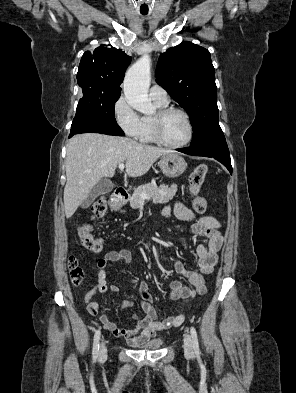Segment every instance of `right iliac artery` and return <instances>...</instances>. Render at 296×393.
<instances>
[{"label": "right iliac artery", "mask_w": 296, "mask_h": 393, "mask_svg": "<svg viewBox=\"0 0 296 393\" xmlns=\"http://www.w3.org/2000/svg\"><path fill=\"white\" fill-rule=\"evenodd\" d=\"M100 335H101L100 330H97L94 335V342H93V350H92L93 361H96L98 357Z\"/></svg>", "instance_id": "1"}]
</instances>
